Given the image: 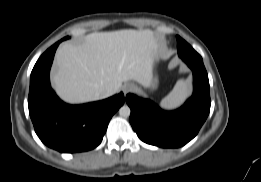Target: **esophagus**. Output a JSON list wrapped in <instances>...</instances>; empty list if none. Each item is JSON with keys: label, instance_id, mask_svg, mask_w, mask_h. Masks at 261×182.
<instances>
[{"label": "esophagus", "instance_id": "esophagus-1", "mask_svg": "<svg viewBox=\"0 0 261 182\" xmlns=\"http://www.w3.org/2000/svg\"><path fill=\"white\" fill-rule=\"evenodd\" d=\"M135 88V86L133 84H126L123 87V91L124 93H128L130 91H132Z\"/></svg>", "mask_w": 261, "mask_h": 182}]
</instances>
